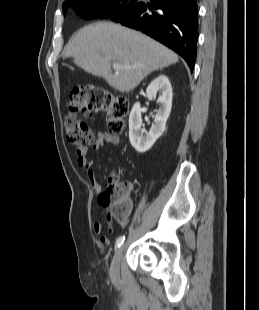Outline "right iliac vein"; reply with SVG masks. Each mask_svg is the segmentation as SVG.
<instances>
[{"label":"right iliac vein","instance_id":"right-iliac-vein-1","mask_svg":"<svg viewBox=\"0 0 259 310\" xmlns=\"http://www.w3.org/2000/svg\"><path fill=\"white\" fill-rule=\"evenodd\" d=\"M124 250V245H121L113 256L111 266H110V276L112 279L116 280L119 277V264Z\"/></svg>","mask_w":259,"mask_h":310}]
</instances>
